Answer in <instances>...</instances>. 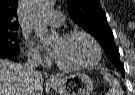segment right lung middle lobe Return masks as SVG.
I'll return each instance as SVG.
<instances>
[{
  "mask_svg": "<svg viewBox=\"0 0 135 95\" xmlns=\"http://www.w3.org/2000/svg\"><path fill=\"white\" fill-rule=\"evenodd\" d=\"M17 39V34L13 33L12 30L0 31V51L18 50L19 45Z\"/></svg>",
  "mask_w": 135,
  "mask_h": 95,
  "instance_id": "obj_1",
  "label": "right lung middle lobe"
}]
</instances>
